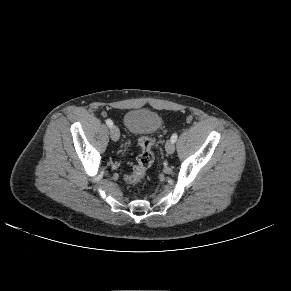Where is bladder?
<instances>
[{"instance_id":"1","label":"bladder","mask_w":291,"mask_h":291,"mask_svg":"<svg viewBox=\"0 0 291 291\" xmlns=\"http://www.w3.org/2000/svg\"><path fill=\"white\" fill-rule=\"evenodd\" d=\"M161 123L159 114L148 109H133L124 116L125 127L134 136L152 134L160 128Z\"/></svg>"}]
</instances>
